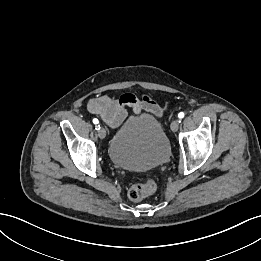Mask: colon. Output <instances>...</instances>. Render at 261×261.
Wrapping results in <instances>:
<instances>
[{
  "label": "colon",
  "instance_id": "5ec220e1",
  "mask_svg": "<svg viewBox=\"0 0 261 261\" xmlns=\"http://www.w3.org/2000/svg\"><path fill=\"white\" fill-rule=\"evenodd\" d=\"M156 190V183L149 178L144 183L134 184L128 191V197L134 202L141 201Z\"/></svg>",
  "mask_w": 261,
  "mask_h": 261
}]
</instances>
